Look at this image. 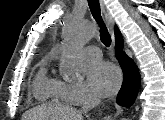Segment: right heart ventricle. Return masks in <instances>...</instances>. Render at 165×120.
I'll use <instances>...</instances> for the list:
<instances>
[{
    "label": "right heart ventricle",
    "instance_id": "obj_1",
    "mask_svg": "<svg viewBox=\"0 0 165 120\" xmlns=\"http://www.w3.org/2000/svg\"><path fill=\"white\" fill-rule=\"evenodd\" d=\"M49 59L41 65L33 82L34 95L42 101L57 100L67 101L64 97L61 81L57 78L50 76L47 71V64Z\"/></svg>",
    "mask_w": 165,
    "mask_h": 120
}]
</instances>
